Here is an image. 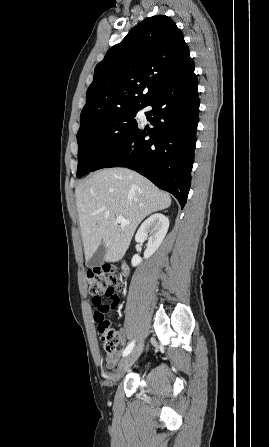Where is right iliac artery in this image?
<instances>
[{
	"label": "right iliac artery",
	"mask_w": 269,
	"mask_h": 447,
	"mask_svg": "<svg viewBox=\"0 0 269 447\" xmlns=\"http://www.w3.org/2000/svg\"><path fill=\"white\" fill-rule=\"evenodd\" d=\"M135 341H132L124 350L123 352V357L127 356L128 354H130V352L133 350Z\"/></svg>",
	"instance_id": "obj_1"
}]
</instances>
